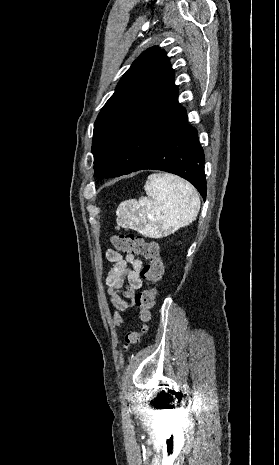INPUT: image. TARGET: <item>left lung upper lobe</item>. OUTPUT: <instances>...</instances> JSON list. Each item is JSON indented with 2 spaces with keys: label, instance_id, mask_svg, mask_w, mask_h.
Instances as JSON below:
<instances>
[{
  "label": "left lung upper lobe",
  "instance_id": "5c2ea615",
  "mask_svg": "<svg viewBox=\"0 0 279 465\" xmlns=\"http://www.w3.org/2000/svg\"><path fill=\"white\" fill-rule=\"evenodd\" d=\"M164 50L143 52L101 109L92 153L98 179L121 176L152 151L185 114Z\"/></svg>",
  "mask_w": 279,
  "mask_h": 465
}]
</instances>
